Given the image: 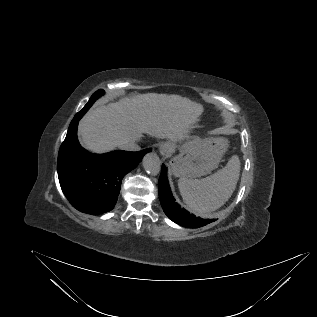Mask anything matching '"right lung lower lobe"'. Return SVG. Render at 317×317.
<instances>
[{
    "label": "right lung lower lobe",
    "instance_id": "obj_1",
    "mask_svg": "<svg viewBox=\"0 0 317 317\" xmlns=\"http://www.w3.org/2000/svg\"><path fill=\"white\" fill-rule=\"evenodd\" d=\"M81 117L72 120L60 147L57 162L59 182L66 198L77 210L88 214L105 213L115 206L123 177L151 149L92 154L82 148L77 139Z\"/></svg>",
    "mask_w": 317,
    "mask_h": 317
}]
</instances>
